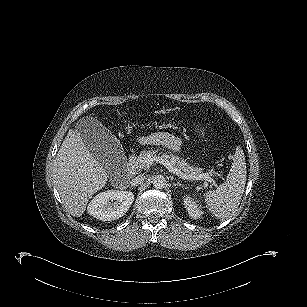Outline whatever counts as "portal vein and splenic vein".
I'll use <instances>...</instances> for the list:
<instances>
[{
    "label": "portal vein and splenic vein",
    "mask_w": 307,
    "mask_h": 307,
    "mask_svg": "<svg viewBox=\"0 0 307 307\" xmlns=\"http://www.w3.org/2000/svg\"><path fill=\"white\" fill-rule=\"evenodd\" d=\"M154 161H159V163H162L163 165L166 166V168L173 174H176L178 177L184 179V180H205L207 182H210L212 184H214L215 186H217L215 180H213L211 178V175L208 173H202L196 176H188L187 174L183 173L181 170H179L178 168L174 167L169 161L162 159V158H155L152 155H147L146 157H144L143 162L146 166L151 165Z\"/></svg>",
    "instance_id": "1"
}]
</instances>
